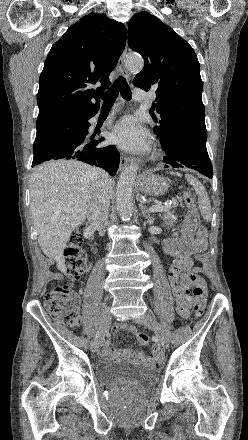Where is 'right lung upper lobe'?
Returning a JSON list of instances; mask_svg holds the SVG:
<instances>
[{"instance_id":"obj_1","label":"right lung upper lobe","mask_w":248,"mask_h":440,"mask_svg":"<svg viewBox=\"0 0 248 440\" xmlns=\"http://www.w3.org/2000/svg\"><path fill=\"white\" fill-rule=\"evenodd\" d=\"M127 30L105 14L90 13L52 46L39 79L36 127L99 107L98 95L125 48ZM101 83L96 90L92 84Z\"/></svg>"}]
</instances>
